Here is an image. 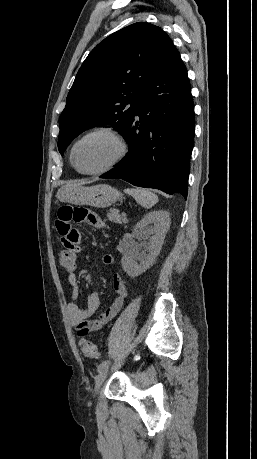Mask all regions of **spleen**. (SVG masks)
Segmentation results:
<instances>
[{"label":"spleen","instance_id":"spleen-1","mask_svg":"<svg viewBox=\"0 0 257 459\" xmlns=\"http://www.w3.org/2000/svg\"><path fill=\"white\" fill-rule=\"evenodd\" d=\"M125 192L131 195L136 202L147 209L153 207L158 202V196L146 189L131 188L125 190Z\"/></svg>","mask_w":257,"mask_h":459}]
</instances>
